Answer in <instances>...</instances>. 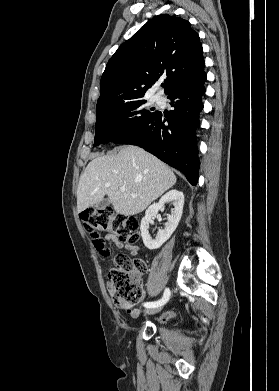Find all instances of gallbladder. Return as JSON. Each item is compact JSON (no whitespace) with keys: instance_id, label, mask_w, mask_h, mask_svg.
<instances>
[{"instance_id":"bac80fb5","label":"gallbladder","mask_w":279,"mask_h":391,"mask_svg":"<svg viewBox=\"0 0 279 391\" xmlns=\"http://www.w3.org/2000/svg\"><path fill=\"white\" fill-rule=\"evenodd\" d=\"M109 204H110V202L108 199H103L102 201L95 204L94 208H95V210H101V209L106 208V206H108Z\"/></svg>"}]
</instances>
